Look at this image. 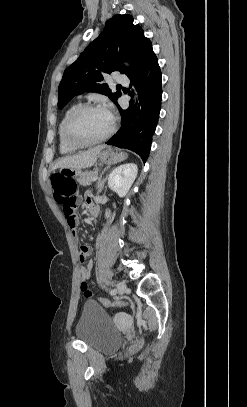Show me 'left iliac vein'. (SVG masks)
Segmentation results:
<instances>
[{
	"mask_svg": "<svg viewBox=\"0 0 247 407\" xmlns=\"http://www.w3.org/2000/svg\"><path fill=\"white\" fill-rule=\"evenodd\" d=\"M116 288L120 294L128 292L127 285L124 282H120L116 285Z\"/></svg>",
	"mask_w": 247,
	"mask_h": 407,
	"instance_id": "4c4485c4",
	"label": "left iliac vein"
}]
</instances>
